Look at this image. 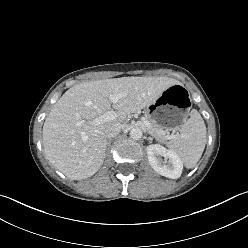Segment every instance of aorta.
Masks as SVG:
<instances>
[{
  "label": "aorta",
  "instance_id": "obj_1",
  "mask_svg": "<svg viewBox=\"0 0 248 248\" xmlns=\"http://www.w3.org/2000/svg\"><path fill=\"white\" fill-rule=\"evenodd\" d=\"M143 136V132L140 128H133L130 131V137L134 140H139Z\"/></svg>",
  "mask_w": 248,
  "mask_h": 248
}]
</instances>
